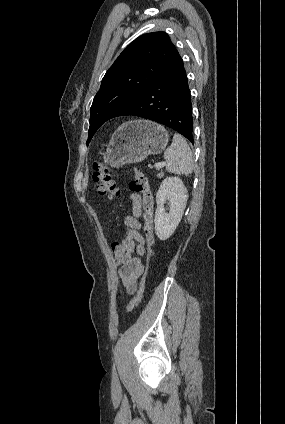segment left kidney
Instances as JSON below:
<instances>
[{"instance_id": "1", "label": "left kidney", "mask_w": 285, "mask_h": 424, "mask_svg": "<svg viewBox=\"0 0 285 424\" xmlns=\"http://www.w3.org/2000/svg\"><path fill=\"white\" fill-rule=\"evenodd\" d=\"M188 199L187 189L179 177L165 178L156 195L155 233L160 240H167L182 219ZM169 201V213L164 204Z\"/></svg>"}]
</instances>
